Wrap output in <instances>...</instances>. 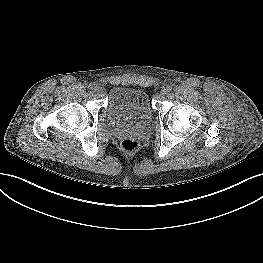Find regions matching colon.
Listing matches in <instances>:
<instances>
[{"instance_id":"1","label":"colon","mask_w":263,"mask_h":263,"mask_svg":"<svg viewBox=\"0 0 263 263\" xmlns=\"http://www.w3.org/2000/svg\"><path fill=\"white\" fill-rule=\"evenodd\" d=\"M121 146L125 151L132 152V151L136 150L138 144L133 139H125L122 141Z\"/></svg>"}]
</instances>
